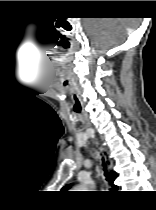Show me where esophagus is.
Instances as JSON below:
<instances>
[{
  "instance_id": "obj_1",
  "label": "esophagus",
  "mask_w": 156,
  "mask_h": 210,
  "mask_svg": "<svg viewBox=\"0 0 156 210\" xmlns=\"http://www.w3.org/2000/svg\"><path fill=\"white\" fill-rule=\"evenodd\" d=\"M97 146L99 147L100 152L104 158L105 164L107 165V168L109 169L112 166V161L109 158L108 152L104 148H102L100 145L97 144Z\"/></svg>"
}]
</instances>
